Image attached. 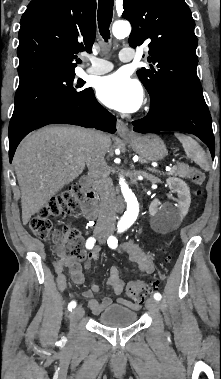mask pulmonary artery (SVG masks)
I'll return each instance as SVG.
<instances>
[{
    "label": "pulmonary artery",
    "mask_w": 221,
    "mask_h": 379,
    "mask_svg": "<svg viewBox=\"0 0 221 379\" xmlns=\"http://www.w3.org/2000/svg\"><path fill=\"white\" fill-rule=\"evenodd\" d=\"M134 58V51L130 48H124L119 53V59L122 62L131 61ZM91 66L87 69V72L94 75L105 74L113 69L112 63L107 60L97 57H89Z\"/></svg>",
    "instance_id": "pulmonary-artery-1"
}]
</instances>
